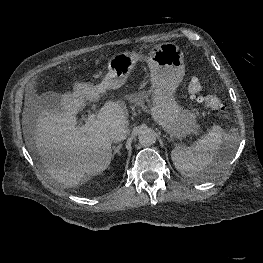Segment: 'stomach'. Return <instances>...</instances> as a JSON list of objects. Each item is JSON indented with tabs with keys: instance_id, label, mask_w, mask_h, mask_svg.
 Segmentation results:
<instances>
[{
	"instance_id": "stomach-1",
	"label": "stomach",
	"mask_w": 263,
	"mask_h": 263,
	"mask_svg": "<svg viewBox=\"0 0 263 263\" xmlns=\"http://www.w3.org/2000/svg\"><path fill=\"white\" fill-rule=\"evenodd\" d=\"M141 59L148 63L150 69L153 119L172 137L182 138L196 132V115L184 110L174 97L185 75L184 54L175 43H160L150 50L148 56L130 51L113 55L101 83L108 89L120 88Z\"/></svg>"
}]
</instances>
